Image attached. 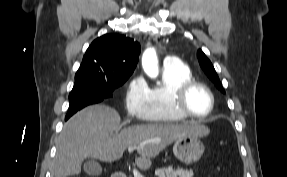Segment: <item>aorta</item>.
<instances>
[{
    "instance_id": "obj_1",
    "label": "aorta",
    "mask_w": 287,
    "mask_h": 177,
    "mask_svg": "<svg viewBox=\"0 0 287 177\" xmlns=\"http://www.w3.org/2000/svg\"><path fill=\"white\" fill-rule=\"evenodd\" d=\"M142 66L145 73L155 78L158 75V59L153 48H148L142 56Z\"/></svg>"
}]
</instances>
